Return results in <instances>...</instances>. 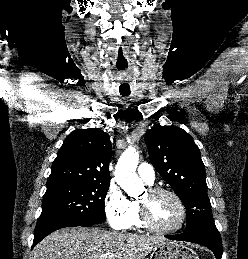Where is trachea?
Listing matches in <instances>:
<instances>
[{
  "instance_id": "1",
  "label": "trachea",
  "mask_w": 248,
  "mask_h": 259,
  "mask_svg": "<svg viewBox=\"0 0 248 259\" xmlns=\"http://www.w3.org/2000/svg\"><path fill=\"white\" fill-rule=\"evenodd\" d=\"M122 96H128L129 95V93H125V94H121Z\"/></svg>"
}]
</instances>
